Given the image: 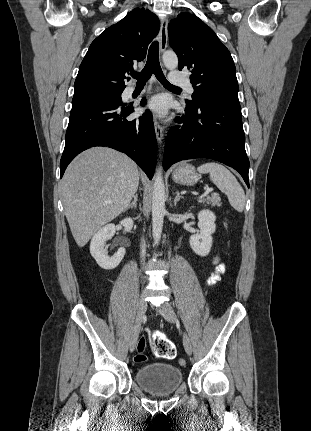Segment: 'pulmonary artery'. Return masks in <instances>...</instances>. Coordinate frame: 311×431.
Here are the masks:
<instances>
[{"instance_id":"1","label":"pulmonary artery","mask_w":311,"mask_h":431,"mask_svg":"<svg viewBox=\"0 0 311 431\" xmlns=\"http://www.w3.org/2000/svg\"><path fill=\"white\" fill-rule=\"evenodd\" d=\"M169 79L172 83L183 86L188 93L193 94L194 93V87L189 81H180L177 79H174L171 75H169ZM134 91H136L135 86H129L127 88V93L132 94Z\"/></svg>"}]
</instances>
